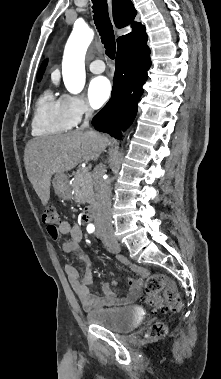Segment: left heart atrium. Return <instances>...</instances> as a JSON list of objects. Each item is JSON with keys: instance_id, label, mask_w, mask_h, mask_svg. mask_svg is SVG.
<instances>
[{"instance_id": "obj_1", "label": "left heart atrium", "mask_w": 221, "mask_h": 379, "mask_svg": "<svg viewBox=\"0 0 221 379\" xmlns=\"http://www.w3.org/2000/svg\"><path fill=\"white\" fill-rule=\"evenodd\" d=\"M112 94V85L110 81L103 76L94 78L88 88V97L91 104L99 108L104 105Z\"/></svg>"}]
</instances>
